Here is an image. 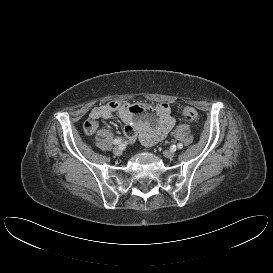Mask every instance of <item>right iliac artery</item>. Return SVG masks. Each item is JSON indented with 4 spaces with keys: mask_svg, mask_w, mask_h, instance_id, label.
I'll list each match as a JSON object with an SVG mask.
<instances>
[{
    "mask_svg": "<svg viewBox=\"0 0 273 273\" xmlns=\"http://www.w3.org/2000/svg\"><path fill=\"white\" fill-rule=\"evenodd\" d=\"M122 141H123V140H122L121 138H116V139L113 140V144L118 145V144H120Z\"/></svg>",
    "mask_w": 273,
    "mask_h": 273,
    "instance_id": "obj_1",
    "label": "right iliac artery"
}]
</instances>
